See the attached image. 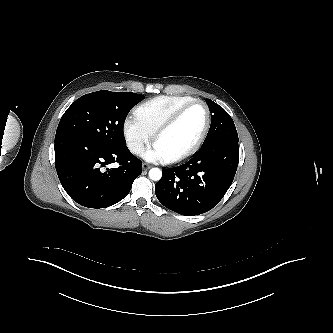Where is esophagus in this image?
<instances>
[{
  "label": "esophagus",
  "instance_id": "obj_1",
  "mask_svg": "<svg viewBox=\"0 0 333 333\" xmlns=\"http://www.w3.org/2000/svg\"><path fill=\"white\" fill-rule=\"evenodd\" d=\"M151 166L149 164L144 163L143 164V170H149Z\"/></svg>",
  "mask_w": 333,
  "mask_h": 333
}]
</instances>
